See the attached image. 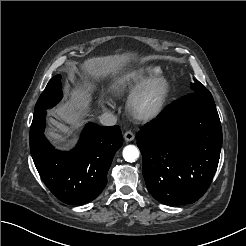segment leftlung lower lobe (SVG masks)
I'll return each instance as SVG.
<instances>
[{"label": "left lung lower lobe", "instance_id": "left-lung-lower-lobe-1", "mask_svg": "<svg viewBox=\"0 0 246 246\" xmlns=\"http://www.w3.org/2000/svg\"><path fill=\"white\" fill-rule=\"evenodd\" d=\"M137 145L151 195L166 205L194 203L216 172L222 146L220 119L208 90L171 103L141 128Z\"/></svg>", "mask_w": 246, "mask_h": 246}]
</instances>
